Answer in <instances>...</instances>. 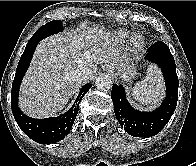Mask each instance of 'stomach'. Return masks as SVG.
Returning <instances> with one entry per match:
<instances>
[{"label":"stomach","mask_w":196,"mask_h":166,"mask_svg":"<svg viewBox=\"0 0 196 166\" xmlns=\"http://www.w3.org/2000/svg\"><path fill=\"white\" fill-rule=\"evenodd\" d=\"M113 70L123 77H132L135 74L133 66L128 62L120 63V66Z\"/></svg>","instance_id":"obj_1"}]
</instances>
